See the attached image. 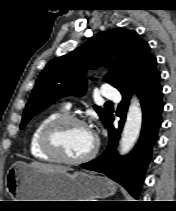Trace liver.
Instances as JSON below:
<instances>
[{"instance_id":"liver-1","label":"liver","mask_w":176,"mask_h":211,"mask_svg":"<svg viewBox=\"0 0 176 211\" xmlns=\"http://www.w3.org/2000/svg\"><path fill=\"white\" fill-rule=\"evenodd\" d=\"M30 166L44 170V171H69L70 168L64 167V166H58V165H52V164H43L39 162H32Z\"/></svg>"}]
</instances>
